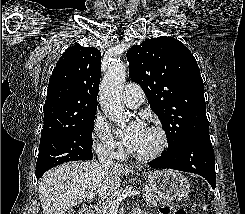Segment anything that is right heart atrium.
<instances>
[{
	"mask_svg": "<svg viewBox=\"0 0 245 214\" xmlns=\"http://www.w3.org/2000/svg\"><path fill=\"white\" fill-rule=\"evenodd\" d=\"M92 136L96 153L104 158H112L117 155L118 142L115 140L107 121L96 116L93 121Z\"/></svg>",
	"mask_w": 245,
	"mask_h": 214,
	"instance_id": "right-heart-atrium-1",
	"label": "right heart atrium"
}]
</instances>
